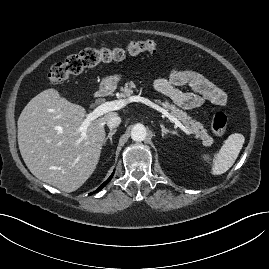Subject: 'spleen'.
I'll return each instance as SVG.
<instances>
[{
  "label": "spleen",
  "instance_id": "1",
  "mask_svg": "<svg viewBox=\"0 0 269 269\" xmlns=\"http://www.w3.org/2000/svg\"><path fill=\"white\" fill-rule=\"evenodd\" d=\"M244 141L245 137L240 133H233L226 139L220 151L214 154L211 170L213 175H221L233 166L243 147ZM202 157L205 160L210 159L207 154H204Z\"/></svg>",
  "mask_w": 269,
  "mask_h": 269
}]
</instances>
